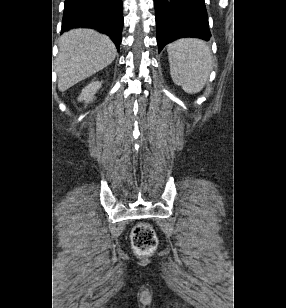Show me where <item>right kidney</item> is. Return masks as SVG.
<instances>
[{
	"mask_svg": "<svg viewBox=\"0 0 286 308\" xmlns=\"http://www.w3.org/2000/svg\"><path fill=\"white\" fill-rule=\"evenodd\" d=\"M102 82L93 81L89 85H87L81 92L78 97L79 101H85L88 103L89 101H93L94 95L100 89Z\"/></svg>",
	"mask_w": 286,
	"mask_h": 308,
	"instance_id": "1",
	"label": "right kidney"
}]
</instances>
